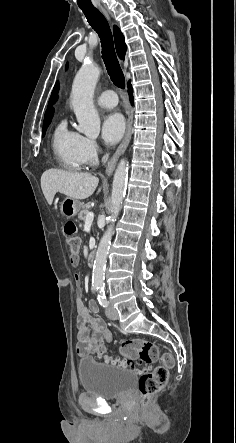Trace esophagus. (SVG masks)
Segmentation results:
<instances>
[{
  "mask_svg": "<svg viewBox=\"0 0 236 443\" xmlns=\"http://www.w3.org/2000/svg\"><path fill=\"white\" fill-rule=\"evenodd\" d=\"M101 11L107 16V18H109V15L104 8H101ZM132 123H133V113L131 112L130 115L128 116L127 129H126L125 136L107 164V167H106V174L107 175L112 174L120 156L125 152L126 148L129 145V142L131 140V135H132Z\"/></svg>",
  "mask_w": 236,
  "mask_h": 443,
  "instance_id": "1",
  "label": "esophagus"
}]
</instances>
